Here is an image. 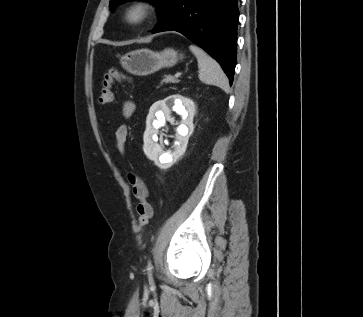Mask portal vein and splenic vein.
I'll return each instance as SVG.
<instances>
[{
	"label": "portal vein and splenic vein",
	"instance_id": "18ae733b",
	"mask_svg": "<svg viewBox=\"0 0 363 317\" xmlns=\"http://www.w3.org/2000/svg\"><path fill=\"white\" fill-rule=\"evenodd\" d=\"M180 76H181V73H176V74H175V77H176V78H178V77H180Z\"/></svg>",
	"mask_w": 363,
	"mask_h": 317
}]
</instances>
